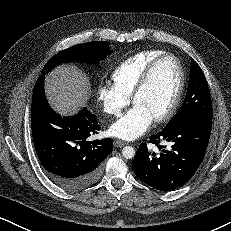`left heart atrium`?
Wrapping results in <instances>:
<instances>
[{"instance_id":"obj_1","label":"left heart atrium","mask_w":231,"mask_h":231,"mask_svg":"<svg viewBox=\"0 0 231 231\" xmlns=\"http://www.w3.org/2000/svg\"><path fill=\"white\" fill-rule=\"evenodd\" d=\"M153 121L154 117L147 110L134 105L110 126L109 132L114 137L133 140L144 134Z\"/></svg>"}]
</instances>
